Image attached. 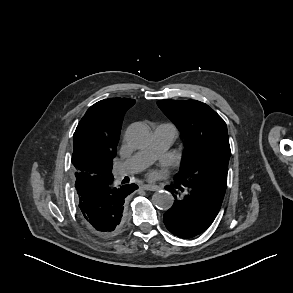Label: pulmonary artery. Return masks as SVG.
I'll list each match as a JSON object with an SVG mask.
<instances>
[{
  "label": "pulmonary artery",
  "mask_w": 293,
  "mask_h": 293,
  "mask_svg": "<svg viewBox=\"0 0 293 293\" xmlns=\"http://www.w3.org/2000/svg\"><path fill=\"white\" fill-rule=\"evenodd\" d=\"M176 130L170 124H159L155 127L151 145L129 158L117 171L118 179L148 166L161 152L166 150L175 140Z\"/></svg>",
  "instance_id": "1"
}]
</instances>
